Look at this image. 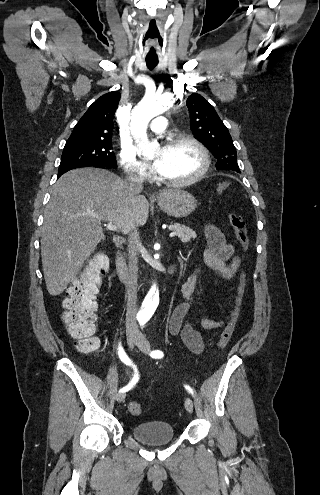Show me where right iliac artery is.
I'll return each instance as SVG.
<instances>
[{
  "mask_svg": "<svg viewBox=\"0 0 320 495\" xmlns=\"http://www.w3.org/2000/svg\"><path fill=\"white\" fill-rule=\"evenodd\" d=\"M118 354H119L121 361L124 364L133 367V369L135 371V376L132 379V381L127 386H125L119 390V392H126V391L130 390L135 385V383L137 382L138 373H137V369H136L135 365L132 363V361L130 360V358L128 357V355L126 354L124 349L122 348L121 344L119 345Z\"/></svg>",
  "mask_w": 320,
  "mask_h": 495,
  "instance_id": "82829eb1",
  "label": "right iliac artery"
}]
</instances>
